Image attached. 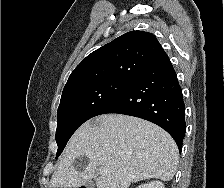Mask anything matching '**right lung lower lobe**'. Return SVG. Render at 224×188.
I'll return each instance as SVG.
<instances>
[{
    "label": "right lung lower lobe",
    "mask_w": 224,
    "mask_h": 188,
    "mask_svg": "<svg viewBox=\"0 0 224 188\" xmlns=\"http://www.w3.org/2000/svg\"><path fill=\"white\" fill-rule=\"evenodd\" d=\"M119 113L157 124L181 151L186 132L182 89L169 58L133 78L129 88L100 114Z\"/></svg>",
    "instance_id": "obj_1"
}]
</instances>
